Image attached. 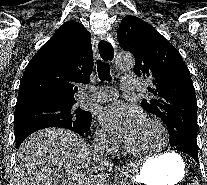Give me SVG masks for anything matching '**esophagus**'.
<instances>
[{"mask_svg": "<svg viewBox=\"0 0 207 185\" xmlns=\"http://www.w3.org/2000/svg\"><path fill=\"white\" fill-rule=\"evenodd\" d=\"M100 38H107V33H100ZM102 42H105V39L101 40ZM100 41V42H101ZM99 42V48H114V43H100ZM93 50L95 53L98 54V40L94 44ZM101 55H113V56H101V61H114V56L116 55V50H101ZM124 169V164H122V160H117V167H116V173H121V170Z\"/></svg>", "mask_w": 207, "mask_h": 185, "instance_id": "esophagus-1", "label": "esophagus"}]
</instances>
